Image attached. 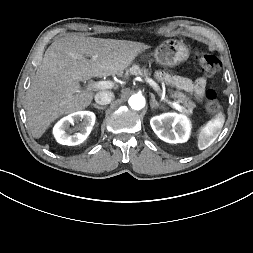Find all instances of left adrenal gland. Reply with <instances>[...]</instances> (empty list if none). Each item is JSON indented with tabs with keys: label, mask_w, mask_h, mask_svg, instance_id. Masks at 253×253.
<instances>
[{
	"label": "left adrenal gland",
	"mask_w": 253,
	"mask_h": 253,
	"mask_svg": "<svg viewBox=\"0 0 253 253\" xmlns=\"http://www.w3.org/2000/svg\"><path fill=\"white\" fill-rule=\"evenodd\" d=\"M151 109L160 107L159 103L155 100V96L151 93V101H150Z\"/></svg>",
	"instance_id": "1"
}]
</instances>
